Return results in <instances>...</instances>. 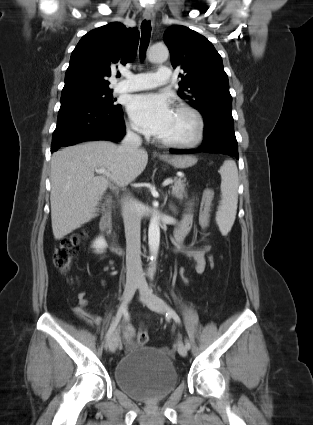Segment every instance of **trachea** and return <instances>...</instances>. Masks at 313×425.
Instances as JSON below:
<instances>
[{
  "mask_svg": "<svg viewBox=\"0 0 313 425\" xmlns=\"http://www.w3.org/2000/svg\"><path fill=\"white\" fill-rule=\"evenodd\" d=\"M142 35H141V43H140V59L143 60L145 58L146 49L149 45L150 36H151V23L150 21L144 20L141 24Z\"/></svg>",
  "mask_w": 313,
  "mask_h": 425,
  "instance_id": "trachea-1",
  "label": "trachea"
}]
</instances>
